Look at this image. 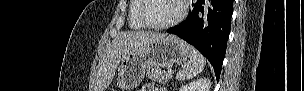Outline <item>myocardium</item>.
I'll return each mask as SVG.
<instances>
[{"instance_id": "1", "label": "myocardium", "mask_w": 304, "mask_h": 91, "mask_svg": "<svg viewBox=\"0 0 304 91\" xmlns=\"http://www.w3.org/2000/svg\"><path fill=\"white\" fill-rule=\"evenodd\" d=\"M179 4V13L175 18L170 20L169 22L163 23V24H152L148 22L144 16V10L146 8V2L147 0H139V9H138V18L140 22L149 29L154 30H163L171 28L177 24H179L185 17L187 12V4L185 0H177Z\"/></svg>"}]
</instances>
